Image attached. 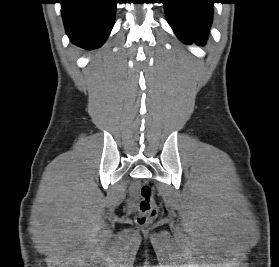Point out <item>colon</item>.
Segmentation results:
<instances>
[{
    "label": "colon",
    "mask_w": 279,
    "mask_h": 267,
    "mask_svg": "<svg viewBox=\"0 0 279 267\" xmlns=\"http://www.w3.org/2000/svg\"><path fill=\"white\" fill-rule=\"evenodd\" d=\"M139 214L136 218L138 225L144 226L152 222L157 215L158 209L154 200L152 188L148 184L140 187Z\"/></svg>",
    "instance_id": "colon-1"
}]
</instances>
